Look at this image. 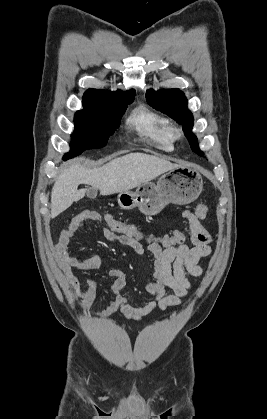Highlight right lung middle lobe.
Returning <instances> with one entry per match:
<instances>
[{
    "label": "right lung middle lobe",
    "instance_id": "dd1d6c3e",
    "mask_svg": "<svg viewBox=\"0 0 267 419\" xmlns=\"http://www.w3.org/2000/svg\"><path fill=\"white\" fill-rule=\"evenodd\" d=\"M133 100L134 95L83 104L84 109L75 114L71 150L64 155V160L77 156L86 149L105 146L117 128L126 105Z\"/></svg>",
    "mask_w": 267,
    "mask_h": 419
}]
</instances>
